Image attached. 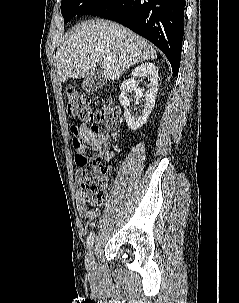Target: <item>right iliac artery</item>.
I'll return each mask as SVG.
<instances>
[{
	"label": "right iliac artery",
	"instance_id": "1",
	"mask_svg": "<svg viewBox=\"0 0 239 303\" xmlns=\"http://www.w3.org/2000/svg\"><path fill=\"white\" fill-rule=\"evenodd\" d=\"M94 237H95V233L91 232L87 238V247L90 249L93 246L94 243Z\"/></svg>",
	"mask_w": 239,
	"mask_h": 303
}]
</instances>
